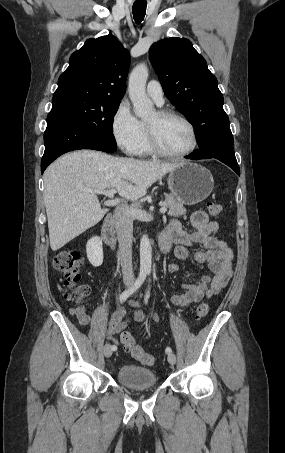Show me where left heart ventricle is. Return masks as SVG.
<instances>
[{
	"mask_svg": "<svg viewBox=\"0 0 285 453\" xmlns=\"http://www.w3.org/2000/svg\"><path fill=\"white\" fill-rule=\"evenodd\" d=\"M146 124L157 131L161 145L167 151L179 153L188 149L192 143V136L188 126L177 118L160 119L154 113Z\"/></svg>",
	"mask_w": 285,
	"mask_h": 453,
	"instance_id": "b2bd125f",
	"label": "left heart ventricle"
}]
</instances>
